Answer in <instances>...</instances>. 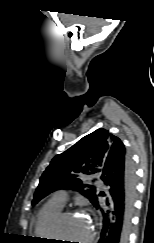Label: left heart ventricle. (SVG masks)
Segmentation results:
<instances>
[{
    "label": "left heart ventricle",
    "mask_w": 154,
    "mask_h": 243,
    "mask_svg": "<svg viewBox=\"0 0 154 243\" xmlns=\"http://www.w3.org/2000/svg\"><path fill=\"white\" fill-rule=\"evenodd\" d=\"M91 223L86 217L81 215H71L66 217L59 229V236L66 241L64 243H71L78 240L82 243L90 234Z\"/></svg>",
    "instance_id": "obj_1"
}]
</instances>
